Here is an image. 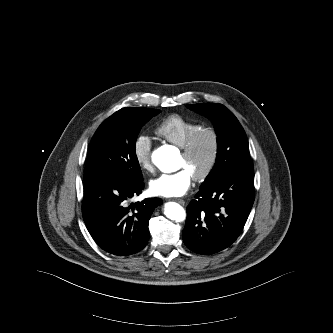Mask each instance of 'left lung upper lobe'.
Masks as SVG:
<instances>
[{
  "instance_id": "obj_1",
  "label": "left lung upper lobe",
  "mask_w": 333,
  "mask_h": 333,
  "mask_svg": "<svg viewBox=\"0 0 333 333\" xmlns=\"http://www.w3.org/2000/svg\"><path fill=\"white\" fill-rule=\"evenodd\" d=\"M187 107L210 118L217 133L216 162L201 187L212 184L229 172L253 168L244 129L237 118L225 106L201 103L187 105Z\"/></svg>"
}]
</instances>
